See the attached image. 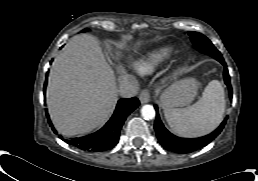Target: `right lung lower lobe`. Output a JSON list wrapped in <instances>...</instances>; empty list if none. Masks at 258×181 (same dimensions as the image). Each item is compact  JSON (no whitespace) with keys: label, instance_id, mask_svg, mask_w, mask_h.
<instances>
[{"label":"right lung lower lobe","instance_id":"obj_1","mask_svg":"<svg viewBox=\"0 0 258 181\" xmlns=\"http://www.w3.org/2000/svg\"><path fill=\"white\" fill-rule=\"evenodd\" d=\"M46 90V84L44 85V94ZM139 100L136 97L128 99H120L118 101L116 110L111 119L106 125L99 131L80 138L64 139L60 138L69 143L70 145L77 147L84 151H106L113 148L118 140L119 133L126 117L139 106ZM50 126L52 123L48 119ZM54 130V128L52 127ZM54 132H56L54 130Z\"/></svg>","mask_w":258,"mask_h":181}]
</instances>
